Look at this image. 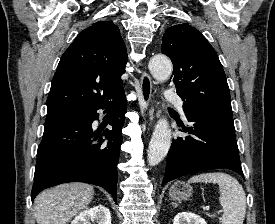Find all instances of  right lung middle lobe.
I'll return each instance as SVG.
<instances>
[{
    "label": "right lung middle lobe",
    "instance_id": "obj_1",
    "mask_svg": "<svg viewBox=\"0 0 275 224\" xmlns=\"http://www.w3.org/2000/svg\"><path fill=\"white\" fill-rule=\"evenodd\" d=\"M82 109H68V110H61V111H57V112H64V111H80Z\"/></svg>",
    "mask_w": 275,
    "mask_h": 224
}]
</instances>
